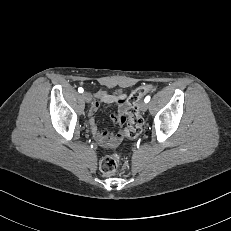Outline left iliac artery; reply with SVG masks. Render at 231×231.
Returning <instances> with one entry per match:
<instances>
[{"label": "left iliac artery", "instance_id": "44dca946", "mask_svg": "<svg viewBox=\"0 0 231 231\" xmlns=\"http://www.w3.org/2000/svg\"><path fill=\"white\" fill-rule=\"evenodd\" d=\"M150 96H147L145 99H144V101L146 102V103H148L149 101H150Z\"/></svg>", "mask_w": 231, "mask_h": 231}]
</instances>
